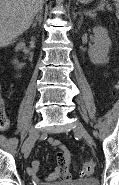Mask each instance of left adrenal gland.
<instances>
[{
  "mask_svg": "<svg viewBox=\"0 0 119 185\" xmlns=\"http://www.w3.org/2000/svg\"><path fill=\"white\" fill-rule=\"evenodd\" d=\"M77 14L81 15V17L83 16L81 12L79 13H73V17L75 18L77 16Z\"/></svg>",
  "mask_w": 119,
  "mask_h": 185,
  "instance_id": "1",
  "label": "left adrenal gland"
}]
</instances>
